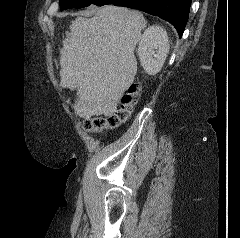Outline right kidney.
<instances>
[{"label":"right kidney","instance_id":"ca27d5eb","mask_svg":"<svg viewBox=\"0 0 240 238\" xmlns=\"http://www.w3.org/2000/svg\"><path fill=\"white\" fill-rule=\"evenodd\" d=\"M169 52V42L166 31L160 26L148 27L138 46V56L144 71L148 75L157 74Z\"/></svg>","mask_w":240,"mask_h":238}]
</instances>
